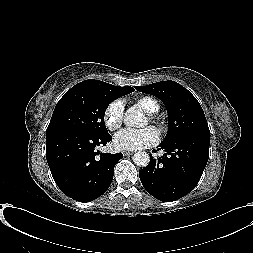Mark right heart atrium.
I'll use <instances>...</instances> for the list:
<instances>
[{
    "mask_svg": "<svg viewBox=\"0 0 253 253\" xmlns=\"http://www.w3.org/2000/svg\"><path fill=\"white\" fill-rule=\"evenodd\" d=\"M103 119L110 131L118 130L124 119V102L121 99L111 101L104 110Z\"/></svg>",
    "mask_w": 253,
    "mask_h": 253,
    "instance_id": "d8ad5b80",
    "label": "right heart atrium"
}]
</instances>
